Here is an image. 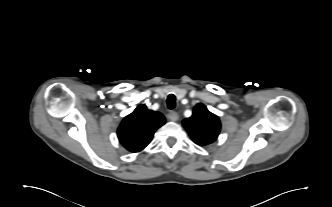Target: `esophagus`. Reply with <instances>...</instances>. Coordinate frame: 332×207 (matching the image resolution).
<instances>
[{
  "label": "esophagus",
  "instance_id": "34e87169",
  "mask_svg": "<svg viewBox=\"0 0 332 207\" xmlns=\"http://www.w3.org/2000/svg\"><path fill=\"white\" fill-rule=\"evenodd\" d=\"M168 119L171 120V121H177L179 116H178V113L175 112V111H171L168 113L167 115Z\"/></svg>",
  "mask_w": 332,
  "mask_h": 207
}]
</instances>
